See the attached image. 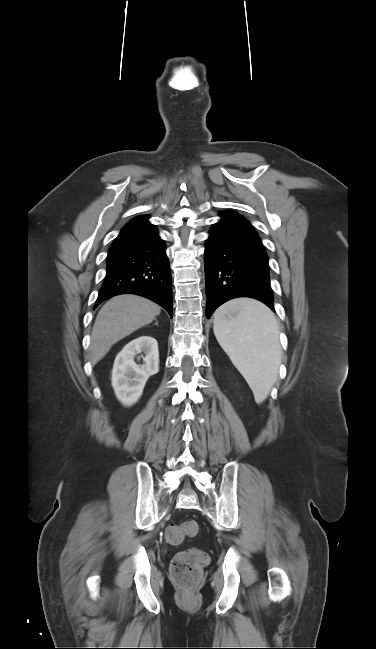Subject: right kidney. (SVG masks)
<instances>
[{"label": "right kidney", "instance_id": "right-kidney-1", "mask_svg": "<svg viewBox=\"0 0 376 649\" xmlns=\"http://www.w3.org/2000/svg\"><path fill=\"white\" fill-rule=\"evenodd\" d=\"M143 353V365L134 359ZM159 371L156 339L142 335L129 342L116 356L112 370V386L117 399L130 406L138 401L148 378Z\"/></svg>", "mask_w": 376, "mask_h": 649}]
</instances>
